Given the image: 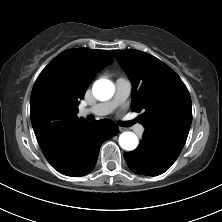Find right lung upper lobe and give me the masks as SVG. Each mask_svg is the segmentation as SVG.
Returning <instances> with one entry per match:
<instances>
[{
	"mask_svg": "<svg viewBox=\"0 0 222 222\" xmlns=\"http://www.w3.org/2000/svg\"><path fill=\"white\" fill-rule=\"evenodd\" d=\"M113 61L108 51L74 48L60 53L40 73L31 93L30 117L43 153L87 122L78 119L79 100L96 72Z\"/></svg>",
	"mask_w": 222,
	"mask_h": 222,
	"instance_id": "right-lung-upper-lobe-1",
	"label": "right lung upper lobe"
}]
</instances>
